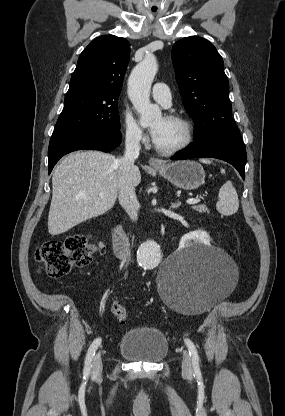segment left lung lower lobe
<instances>
[{"label": "left lung lower lobe", "instance_id": "obj_1", "mask_svg": "<svg viewBox=\"0 0 285 416\" xmlns=\"http://www.w3.org/2000/svg\"><path fill=\"white\" fill-rule=\"evenodd\" d=\"M210 157L233 165L244 180L246 148L237 127L221 128L207 133L190 146L172 156L173 160Z\"/></svg>", "mask_w": 285, "mask_h": 416}]
</instances>
